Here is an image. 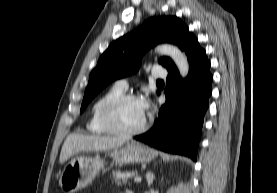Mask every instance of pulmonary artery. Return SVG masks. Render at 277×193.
<instances>
[{
	"label": "pulmonary artery",
	"instance_id": "pulmonary-artery-1",
	"mask_svg": "<svg viewBox=\"0 0 277 193\" xmlns=\"http://www.w3.org/2000/svg\"><path fill=\"white\" fill-rule=\"evenodd\" d=\"M152 76L154 78H165L167 76V71L163 68H154ZM115 85L123 91L128 87V83L125 79L118 80Z\"/></svg>",
	"mask_w": 277,
	"mask_h": 193
}]
</instances>
